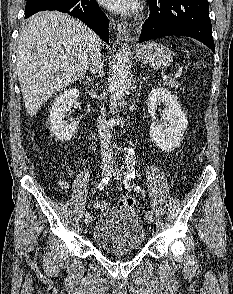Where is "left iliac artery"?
<instances>
[{"label": "left iliac artery", "mask_w": 233, "mask_h": 294, "mask_svg": "<svg viewBox=\"0 0 233 294\" xmlns=\"http://www.w3.org/2000/svg\"><path fill=\"white\" fill-rule=\"evenodd\" d=\"M127 169H128V173H127V176H126V178H130V180L132 181V187H133V189L135 190V191H137V192H139V191H141V188H140V186H137L135 183H134V179H135V177H136V174H135V163L133 162H131V163H129L128 164V166H127ZM148 214H151V215H153V211L152 210H149L148 211Z\"/></svg>", "instance_id": "1"}]
</instances>
